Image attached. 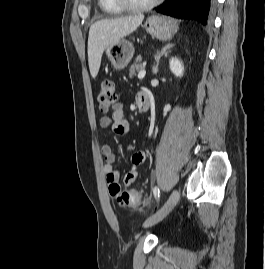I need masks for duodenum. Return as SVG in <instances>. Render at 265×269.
Returning <instances> with one entry per match:
<instances>
[{
  "mask_svg": "<svg viewBox=\"0 0 265 269\" xmlns=\"http://www.w3.org/2000/svg\"><path fill=\"white\" fill-rule=\"evenodd\" d=\"M137 103L140 110L146 111L149 108V98L147 94L145 93L139 94Z\"/></svg>",
  "mask_w": 265,
  "mask_h": 269,
  "instance_id": "1",
  "label": "duodenum"
}]
</instances>
